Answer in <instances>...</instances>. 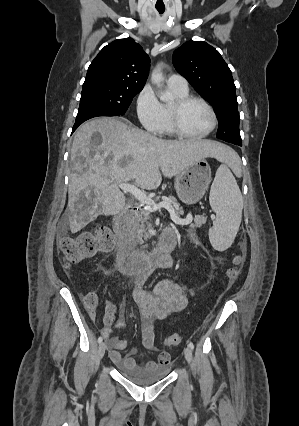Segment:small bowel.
I'll list each match as a JSON object with an SVG mask.
<instances>
[{"instance_id": "1", "label": "small bowel", "mask_w": 299, "mask_h": 426, "mask_svg": "<svg viewBox=\"0 0 299 426\" xmlns=\"http://www.w3.org/2000/svg\"><path fill=\"white\" fill-rule=\"evenodd\" d=\"M174 266V259L170 255H164L156 259L151 265L141 270L134 276V287L132 296L139 308L142 327V345L147 350L156 351L155 347V326L156 320H162L167 316L183 310L193 294L184 284L174 283L170 280L159 281L152 291L146 290L145 286L150 275L157 269H168ZM126 325L121 318H116V306L109 302L106 305L103 317V327L101 334L104 336L110 347V358L119 368L134 369L138 367L149 368L155 366H168L170 356L166 352H161L157 361L139 363L136 360L138 348H133L126 356L122 357L120 351L127 348L126 339L120 340L112 333L115 329L124 330Z\"/></svg>"}]
</instances>
